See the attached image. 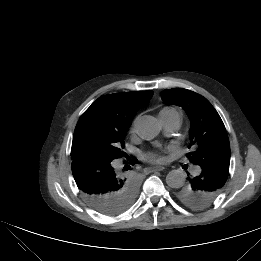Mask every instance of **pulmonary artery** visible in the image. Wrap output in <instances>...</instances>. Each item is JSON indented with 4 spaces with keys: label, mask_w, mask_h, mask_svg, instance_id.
Listing matches in <instances>:
<instances>
[{
    "label": "pulmonary artery",
    "mask_w": 261,
    "mask_h": 261,
    "mask_svg": "<svg viewBox=\"0 0 261 261\" xmlns=\"http://www.w3.org/2000/svg\"><path fill=\"white\" fill-rule=\"evenodd\" d=\"M159 118L163 127L169 132H175L180 128L182 117L177 110L161 111ZM195 173L200 172L199 167H194Z\"/></svg>",
    "instance_id": "obj_1"
}]
</instances>
